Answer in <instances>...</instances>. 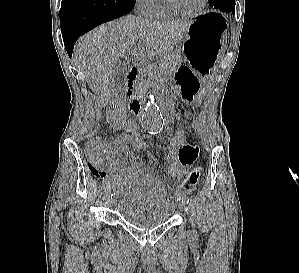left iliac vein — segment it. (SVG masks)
I'll return each mask as SVG.
<instances>
[{
  "instance_id": "obj_1",
  "label": "left iliac vein",
  "mask_w": 299,
  "mask_h": 273,
  "mask_svg": "<svg viewBox=\"0 0 299 273\" xmlns=\"http://www.w3.org/2000/svg\"><path fill=\"white\" fill-rule=\"evenodd\" d=\"M178 206L180 211H182L183 213H187V205L185 202H180Z\"/></svg>"
}]
</instances>
